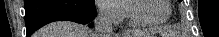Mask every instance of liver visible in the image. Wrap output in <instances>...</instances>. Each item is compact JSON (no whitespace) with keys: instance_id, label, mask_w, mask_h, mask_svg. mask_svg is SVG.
Masks as SVG:
<instances>
[{"instance_id":"6515ba94","label":"liver","mask_w":219,"mask_h":37,"mask_svg":"<svg viewBox=\"0 0 219 37\" xmlns=\"http://www.w3.org/2000/svg\"><path fill=\"white\" fill-rule=\"evenodd\" d=\"M36 37H96L94 32L84 25L69 21H59L41 28Z\"/></svg>"}]
</instances>
